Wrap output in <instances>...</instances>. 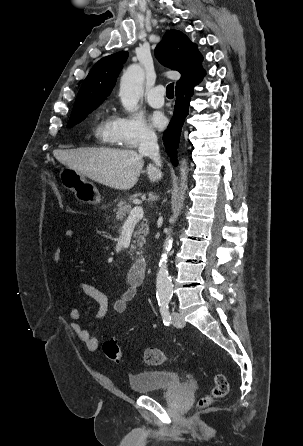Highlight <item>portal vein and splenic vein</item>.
Wrapping results in <instances>:
<instances>
[{
	"instance_id": "1",
	"label": "portal vein and splenic vein",
	"mask_w": 303,
	"mask_h": 446,
	"mask_svg": "<svg viewBox=\"0 0 303 446\" xmlns=\"http://www.w3.org/2000/svg\"><path fill=\"white\" fill-rule=\"evenodd\" d=\"M143 208L141 206H136L130 212L127 220L125 221V225H129L132 223H137L139 220L143 218Z\"/></svg>"
}]
</instances>
